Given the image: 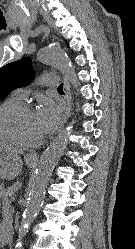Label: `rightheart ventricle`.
I'll use <instances>...</instances> for the list:
<instances>
[{
	"instance_id": "obj_1",
	"label": "right heart ventricle",
	"mask_w": 135,
	"mask_h": 249,
	"mask_svg": "<svg viewBox=\"0 0 135 249\" xmlns=\"http://www.w3.org/2000/svg\"><path fill=\"white\" fill-rule=\"evenodd\" d=\"M20 100L21 99L16 97L14 94L10 95L6 99H4L0 103V115L2 114V112L4 110L9 108L10 106L20 103ZM11 144H15V143L11 139H9L7 136L2 134L1 131H0V145H11Z\"/></svg>"
}]
</instances>
